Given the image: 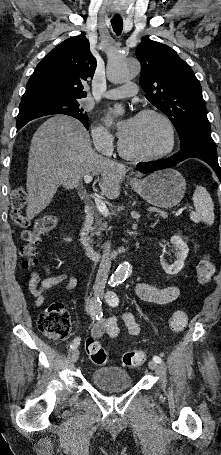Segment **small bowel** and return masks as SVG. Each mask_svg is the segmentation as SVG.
<instances>
[{
  "mask_svg": "<svg viewBox=\"0 0 221 455\" xmlns=\"http://www.w3.org/2000/svg\"><path fill=\"white\" fill-rule=\"evenodd\" d=\"M65 282L64 290L70 291L77 286V279L69 274H49L45 279L40 280L34 275L29 282L30 293L35 297V304L42 306L46 301L45 292L50 290L60 283ZM136 295L143 301L153 305H167L176 300L180 294V289L177 286L157 287L149 283L140 282L135 286ZM128 334L131 336L138 335L142 330L141 323L130 313L123 312L121 315ZM92 336L100 338L106 334L110 338H116L120 334L117 325V317H104L97 321L92 327Z\"/></svg>",
  "mask_w": 221,
  "mask_h": 455,
  "instance_id": "1",
  "label": "small bowel"
}]
</instances>
